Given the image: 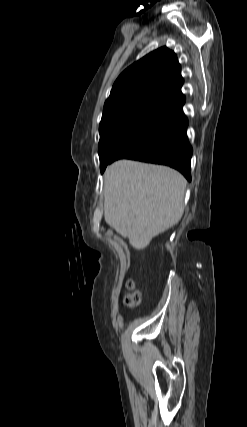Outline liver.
<instances>
[{"label": "liver", "instance_id": "liver-1", "mask_svg": "<svg viewBox=\"0 0 247 427\" xmlns=\"http://www.w3.org/2000/svg\"><path fill=\"white\" fill-rule=\"evenodd\" d=\"M185 178L176 170L119 160L104 174V218L136 249L177 224L184 212Z\"/></svg>", "mask_w": 247, "mask_h": 427}]
</instances>
